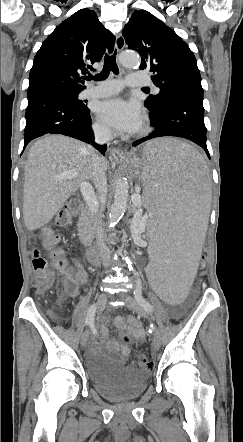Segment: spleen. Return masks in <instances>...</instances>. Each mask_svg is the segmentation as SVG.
<instances>
[{"label":"spleen","instance_id":"spleen-1","mask_svg":"<svg viewBox=\"0 0 243 442\" xmlns=\"http://www.w3.org/2000/svg\"><path fill=\"white\" fill-rule=\"evenodd\" d=\"M136 178L144 193L149 242L145 246L149 291L164 307H183L193 286L200 244L210 211L209 177L203 157L176 139L148 142Z\"/></svg>","mask_w":243,"mask_h":442}]
</instances>
